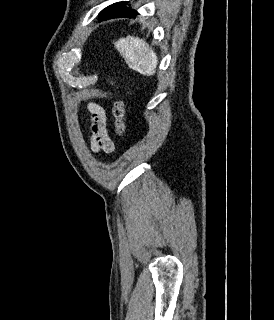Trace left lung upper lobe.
Segmentation results:
<instances>
[{
  "label": "left lung upper lobe",
  "mask_w": 274,
  "mask_h": 320,
  "mask_svg": "<svg viewBox=\"0 0 274 320\" xmlns=\"http://www.w3.org/2000/svg\"><path fill=\"white\" fill-rule=\"evenodd\" d=\"M126 4H127V2L114 3V4L106 7L105 9H103L100 12V15L110 14V13H115V12H122V11L128 9V7L125 6Z\"/></svg>",
  "instance_id": "obj_1"
}]
</instances>
